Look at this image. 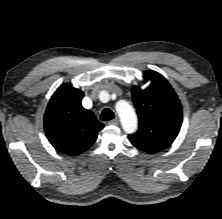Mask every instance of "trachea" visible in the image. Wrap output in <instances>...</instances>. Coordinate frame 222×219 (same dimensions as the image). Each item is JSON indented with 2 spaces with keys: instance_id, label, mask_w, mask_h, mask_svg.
Returning <instances> with one entry per match:
<instances>
[{
  "instance_id": "3493384b",
  "label": "trachea",
  "mask_w": 222,
  "mask_h": 219,
  "mask_svg": "<svg viewBox=\"0 0 222 219\" xmlns=\"http://www.w3.org/2000/svg\"><path fill=\"white\" fill-rule=\"evenodd\" d=\"M114 113L112 112V110H110L109 108H105L103 111H102V114H101V117L100 119L102 121H108V120H112L114 119Z\"/></svg>"
}]
</instances>
